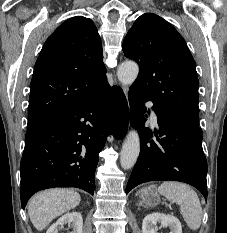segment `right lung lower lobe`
<instances>
[{"label":"right lung lower lobe","instance_id":"obj_1","mask_svg":"<svg viewBox=\"0 0 227 233\" xmlns=\"http://www.w3.org/2000/svg\"><path fill=\"white\" fill-rule=\"evenodd\" d=\"M116 87L109 84L86 102L28 128L20 164L21 205L43 189L76 187L90 194L95 190L98 154L112 132L126 134L129 114L119 106Z\"/></svg>","mask_w":227,"mask_h":233}]
</instances>
